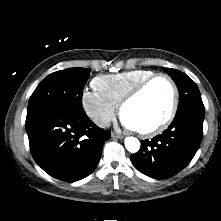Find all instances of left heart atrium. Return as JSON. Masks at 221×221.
Returning <instances> with one entry per match:
<instances>
[{
  "mask_svg": "<svg viewBox=\"0 0 221 221\" xmlns=\"http://www.w3.org/2000/svg\"><path fill=\"white\" fill-rule=\"evenodd\" d=\"M121 122L122 124L126 127V128H129V129H134L133 125L130 123V121L125 118L124 116L121 117Z\"/></svg>",
  "mask_w": 221,
  "mask_h": 221,
  "instance_id": "1",
  "label": "left heart atrium"
}]
</instances>
